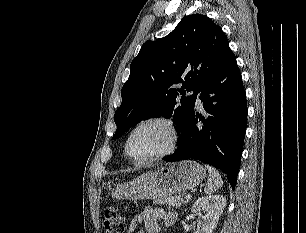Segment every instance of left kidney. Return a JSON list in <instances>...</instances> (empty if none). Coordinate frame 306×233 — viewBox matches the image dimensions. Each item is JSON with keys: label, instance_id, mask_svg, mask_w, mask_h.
<instances>
[{"label": "left kidney", "instance_id": "1", "mask_svg": "<svg viewBox=\"0 0 306 233\" xmlns=\"http://www.w3.org/2000/svg\"><path fill=\"white\" fill-rule=\"evenodd\" d=\"M226 206V198L221 195L201 197L192 206V213L201 216L194 233H213L219 217ZM204 212V215L201 212Z\"/></svg>", "mask_w": 306, "mask_h": 233}]
</instances>
